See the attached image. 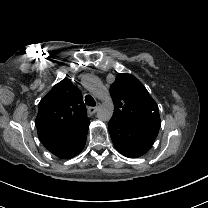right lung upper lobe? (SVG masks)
Instances as JSON below:
<instances>
[{"label":"right lung upper lobe","mask_w":208,"mask_h":208,"mask_svg":"<svg viewBox=\"0 0 208 208\" xmlns=\"http://www.w3.org/2000/svg\"><path fill=\"white\" fill-rule=\"evenodd\" d=\"M88 121L81 92L65 78L40 101L35 124L42 140L65 135Z\"/></svg>","instance_id":"cb5924a9"}]
</instances>
